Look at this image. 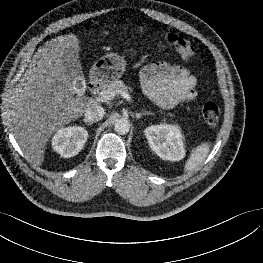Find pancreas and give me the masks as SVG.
<instances>
[{
    "instance_id": "cf45deb5",
    "label": "pancreas",
    "mask_w": 263,
    "mask_h": 263,
    "mask_svg": "<svg viewBox=\"0 0 263 263\" xmlns=\"http://www.w3.org/2000/svg\"><path fill=\"white\" fill-rule=\"evenodd\" d=\"M103 88L111 92H114L115 95H121V92L123 91L127 92L128 90H131V88L126 86L124 82L121 80H114V81L108 82L107 84L103 86Z\"/></svg>"
}]
</instances>
